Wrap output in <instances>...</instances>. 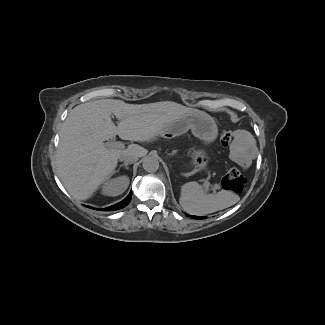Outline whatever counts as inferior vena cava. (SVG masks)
I'll use <instances>...</instances> for the list:
<instances>
[{
  "label": "inferior vena cava",
  "mask_w": 325,
  "mask_h": 325,
  "mask_svg": "<svg viewBox=\"0 0 325 325\" xmlns=\"http://www.w3.org/2000/svg\"><path fill=\"white\" fill-rule=\"evenodd\" d=\"M119 160L124 161L125 163H134L138 160V154L135 152L125 151L119 156Z\"/></svg>",
  "instance_id": "1"
}]
</instances>
